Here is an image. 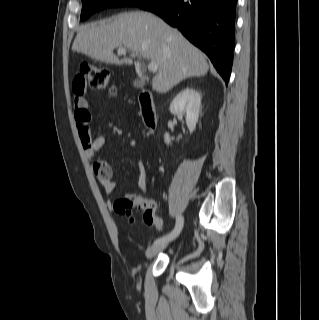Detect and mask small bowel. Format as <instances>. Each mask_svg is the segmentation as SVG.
Returning <instances> with one entry per match:
<instances>
[{
    "label": "small bowel",
    "mask_w": 319,
    "mask_h": 320,
    "mask_svg": "<svg viewBox=\"0 0 319 320\" xmlns=\"http://www.w3.org/2000/svg\"><path fill=\"white\" fill-rule=\"evenodd\" d=\"M75 90V121L78 127L80 141L84 149L85 156L93 161V167L97 178L99 179L104 191L106 194H111L116 188V182L112 177V173L110 170H106L104 165L107 164L104 160H94L96 154L99 150L105 145L107 141V137L105 135H99L95 138H92L90 133H86L83 129V124L85 122H89L91 113L89 110V102L87 98L84 96L85 90L84 87L78 89L74 87ZM99 164L100 168H96L95 166ZM137 184L141 191L146 192L149 189V184L146 178V172L144 165L142 162L138 163V178ZM132 199H139L140 205L139 209L145 211H151L153 213L156 212V203L150 199L145 197H134L130 195Z\"/></svg>",
    "instance_id": "obj_1"
}]
</instances>
